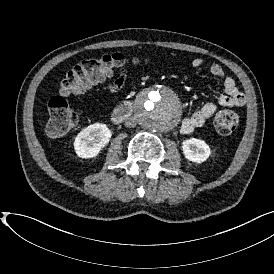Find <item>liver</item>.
Returning a JSON list of instances; mask_svg holds the SVG:
<instances>
[{
  "label": "liver",
  "mask_w": 274,
  "mask_h": 274,
  "mask_svg": "<svg viewBox=\"0 0 274 274\" xmlns=\"http://www.w3.org/2000/svg\"><path fill=\"white\" fill-rule=\"evenodd\" d=\"M39 125L41 126V128H43V122H42V120H39Z\"/></svg>",
  "instance_id": "obj_1"
}]
</instances>
